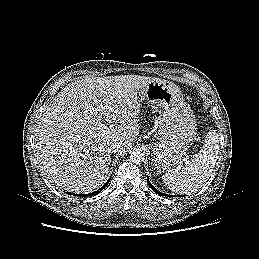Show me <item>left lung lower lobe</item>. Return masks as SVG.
Returning <instances> with one entry per match:
<instances>
[{
  "label": "left lung lower lobe",
  "instance_id": "obj_1",
  "mask_svg": "<svg viewBox=\"0 0 259 259\" xmlns=\"http://www.w3.org/2000/svg\"><path fill=\"white\" fill-rule=\"evenodd\" d=\"M147 182H148L150 188H151L155 193H157V194L160 195V196H165V194L159 192V191L150 183V181H149L148 179H147ZM166 196H168V195L166 194Z\"/></svg>",
  "mask_w": 259,
  "mask_h": 259
}]
</instances>
